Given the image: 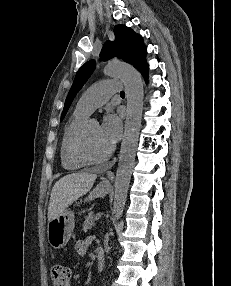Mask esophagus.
<instances>
[{"instance_id": "esophagus-1", "label": "esophagus", "mask_w": 231, "mask_h": 286, "mask_svg": "<svg viewBox=\"0 0 231 286\" xmlns=\"http://www.w3.org/2000/svg\"><path fill=\"white\" fill-rule=\"evenodd\" d=\"M114 180V173L112 171H108L106 174V179L103 181L104 184L110 185Z\"/></svg>"}]
</instances>
